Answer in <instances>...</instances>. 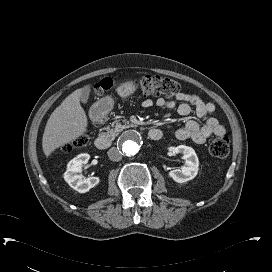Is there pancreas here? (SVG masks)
<instances>
[{"label": "pancreas", "instance_id": "pancreas-1", "mask_svg": "<svg viewBox=\"0 0 272 272\" xmlns=\"http://www.w3.org/2000/svg\"><path fill=\"white\" fill-rule=\"evenodd\" d=\"M123 123L124 124H121L119 120L115 121L114 128L107 130V134L109 135V137L114 139L120 132L133 126L128 120H123Z\"/></svg>", "mask_w": 272, "mask_h": 272}]
</instances>
